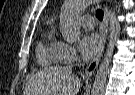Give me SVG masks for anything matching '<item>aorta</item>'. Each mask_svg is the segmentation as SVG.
<instances>
[{
  "label": "aorta",
  "instance_id": "762f6f07",
  "mask_svg": "<svg viewBox=\"0 0 135 95\" xmlns=\"http://www.w3.org/2000/svg\"><path fill=\"white\" fill-rule=\"evenodd\" d=\"M92 0H65L60 14V31L64 40L76 42L80 37L78 16ZM110 35L107 50L102 63L97 70L91 95H104L107 75L116 42L120 35V24L115 12H109Z\"/></svg>",
  "mask_w": 135,
  "mask_h": 95
}]
</instances>
